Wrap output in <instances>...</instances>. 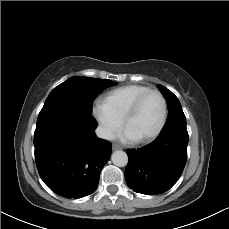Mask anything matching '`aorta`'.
Instances as JSON below:
<instances>
[{
  "label": "aorta",
  "instance_id": "762f6f07",
  "mask_svg": "<svg viewBox=\"0 0 229 229\" xmlns=\"http://www.w3.org/2000/svg\"><path fill=\"white\" fill-rule=\"evenodd\" d=\"M112 162L118 167H124L128 163V156L124 151H115L111 156Z\"/></svg>",
  "mask_w": 229,
  "mask_h": 229
}]
</instances>
